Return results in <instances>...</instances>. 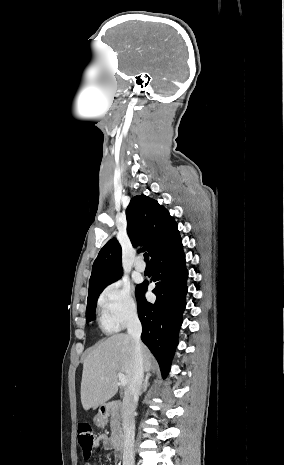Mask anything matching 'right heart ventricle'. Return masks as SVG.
Wrapping results in <instances>:
<instances>
[{
    "mask_svg": "<svg viewBox=\"0 0 284 465\" xmlns=\"http://www.w3.org/2000/svg\"><path fill=\"white\" fill-rule=\"evenodd\" d=\"M99 326L100 328L105 331V332H108V331H111L112 330V324L111 322L109 321V319L107 317H105L104 315H102L100 318H99Z\"/></svg>",
    "mask_w": 284,
    "mask_h": 465,
    "instance_id": "obj_1",
    "label": "right heart ventricle"
}]
</instances>
